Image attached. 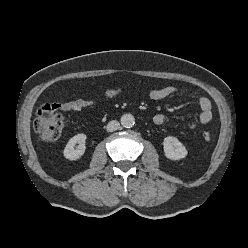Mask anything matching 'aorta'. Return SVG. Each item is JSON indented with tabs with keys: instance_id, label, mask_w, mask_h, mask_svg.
Segmentation results:
<instances>
[{
	"instance_id": "762f6f07",
	"label": "aorta",
	"mask_w": 248,
	"mask_h": 248,
	"mask_svg": "<svg viewBox=\"0 0 248 248\" xmlns=\"http://www.w3.org/2000/svg\"><path fill=\"white\" fill-rule=\"evenodd\" d=\"M121 125L125 128H130L135 123V118L132 114H124L120 119Z\"/></svg>"
}]
</instances>
